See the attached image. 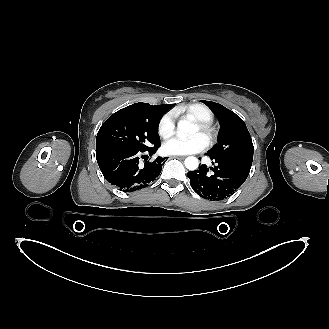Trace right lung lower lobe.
I'll return each instance as SVG.
<instances>
[{
    "label": "right lung lower lobe",
    "instance_id": "98d812e1",
    "mask_svg": "<svg viewBox=\"0 0 329 329\" xmlns=\"http://www.w3.org/2000/svg\"><path fill=\"white\" fill-rule=\"evenodd\" d=\"M159 144L138 149L119 146L96 147V159L105 179L124 192H133L149 186L160 174L166 158L158 157L153 162L139 164L140 156H152ZM148 157V156H147Z\"/></svg>",
    "mask_w": 329,
    "mask_h": 329
}]
</instances>
